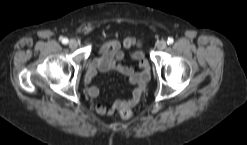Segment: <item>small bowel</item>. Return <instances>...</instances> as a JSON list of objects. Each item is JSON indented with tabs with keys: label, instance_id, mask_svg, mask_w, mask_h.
<instances>
[{
	"label": "small bowel",
	"instance_id": "c3829d8e",
	"mask_svg": "<svg viewBox=\"0 0 247 145\" xmlns=\"http://www.w3.org/2000/svg\"><path fill=\"white\" fill-rule=\"evenodd\" d=\"M132 46L139 47L137 51L131 54V59L137 62L139 71L123 63V49ZM140 47V42L135 38H127L123 43L118 40H108L100 45L99 56L94 58L87 68L85 82L89 84L98 72L116 71L127 76L129 84L134 89L127 100H117L109 108L100 103L95 104L94 108L98 114H113L124 107L132 108L139 102L144 86L150 76L149 63ZM86 92L91 98L98 97L100 93L96 86L91 85L86 87Z\"/></svg>",
	"mask_w": 247,
	"mask_h": 145
}]
</instances>
